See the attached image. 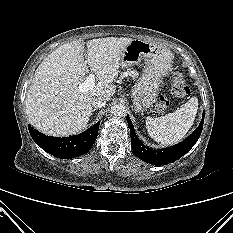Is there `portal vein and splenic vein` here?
<instances>
[{
  "mask_svg": "<svg viewBox=\"0 0 233 233\" xmlns=\"http://www.w3.org/2000/svg\"><path fill=\"white\" fill-rule=\"evenodd\" d=\"M95 86V75L93 73L89 74V76L86 78V80L79 85L80 91H87L89 89H92Z\"/></svg>",
  "mask_w": 233,
  "mask_h": 233,
  "instance_id": "18ae733b",
  "label": "portal vein and splenic vein"
}]
</instances>
